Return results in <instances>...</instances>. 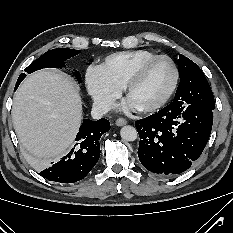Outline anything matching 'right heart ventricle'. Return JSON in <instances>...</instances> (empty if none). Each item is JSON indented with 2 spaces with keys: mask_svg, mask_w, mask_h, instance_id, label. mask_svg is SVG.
Listing matches in <instances>:
<instances>
[{
  "mask_svg": "<svg viewBox=\"0 0 233 233\" xmlns=\"http://www.w3.org/2000/svg\"><path fill=\"white\" fill-rule=\"evenodd\" d=\"M155 55L154 52L145 49L117 52L106 57L101 66L117 86L123 87L132 71L141 62Z\"/></svg>",
  "mask_w": 233,
  "mask_h": 233,
  "instance_id": "e07e8e85",
  "label": "right heart ventricle"
}]
</instances>
